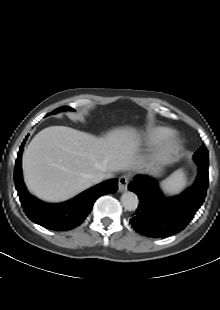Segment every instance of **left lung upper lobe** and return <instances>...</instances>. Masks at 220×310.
Listing matches in <instances>:
<instances>
[{"mask_svg":"<svg viewBox=\"0 0 220 310\" xmlns=\"http://www.w3.org/2000/svg\"><path fill=\"white\" fill-rule=\"evenodd\" d=\"M194 159L198 165H206L208 166L209 159H208V151L207 149L202 146L200 147L194 154Z\"/></svg>","mask_w":220,"mask_h":310,"instance_id":"1","label":"left lung upper lobe"}]
</instances>
